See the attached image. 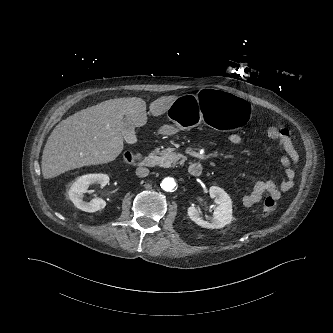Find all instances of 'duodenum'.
<instances>
[{"mask_svg":"<svg viewBox=\"0 0 333 333\" xmlns=\"http://www.w3.org/2000/svg\"><path fill=\"white\" fill-rule=\"evenodd\" d=\"M157 161L154 156H147L139 160L138 166L140 168H151L156 165ZM203 168L201 163L195 161L189 164L188 172L191 176L198 177L202 174Z\"/></svg>","mask_w":333,"mask_h":333,"instance_id":"obj_1","label":"duodenum"}]
</instances>
